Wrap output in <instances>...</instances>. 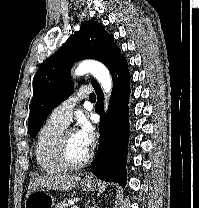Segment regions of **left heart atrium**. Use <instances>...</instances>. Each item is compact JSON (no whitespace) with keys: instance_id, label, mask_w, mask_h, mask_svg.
<instances>
[{"instance_id":"left-heart-atrium-1","label":"left heart atrium","mask_w":199,"mask_h":208,"mask_svg":"<svg viewBox=\"0 0 199 208\" xmlns=\"http://www.w3.org/2000/svg\"><path fill=\"white\" fill-rule=\"evenodd\" d=\"M76 134L79 140L81 141V143L86 148H89L91 146L94 138V129L87 118L85 117L80 118L79 127L76 131Z\"/></svg>"}]
</instances>
